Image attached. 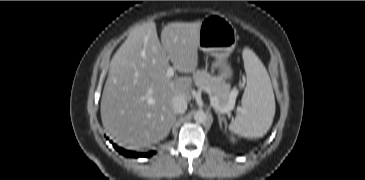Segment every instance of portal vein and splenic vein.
I'll list each match as a JSON object with an SVG mask.
<instances>
[{"mask_svg": "<svg viewBox=\"0 0 365 180\" xmlns=\"http://www.w3.org/2000/svg\"><path fill=\"white\" fill-rule=\"evenodd\" d=\"M174 73H175L174 69L172 67H169L167 69L166 76L168 78H172L174 76ZM210 104H211V106H213L216 110L220 111L221 113H229L230 110H232L234 107V105H231L228 107H221L219 105L217 98H215L213 96H210Z\"/></svg>", "mask_w": 365, "mask_h": 180, "instance_id": "18ae733b", "label": "portal vein and splenic vein"}]
</instances>
